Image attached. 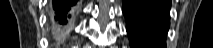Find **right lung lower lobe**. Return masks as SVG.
<instances>
[{
    "mask_svg": "<svg viewBox=\"0 0 213 48\" xmlns=\"http://www.w3.org/2000/svg\"><path fill=\"white\" fill-rule=\"evenodd\" d=\"M77 0H53V9L55 10L56 20L60 24H65L70 14L72 6Z\"/></svg>",
    "mask_w": 213,
    "mask_h": 48,
    "instance_id": "98d812e1",
    "label": "right lung lower lobe"
}]
</instances>
